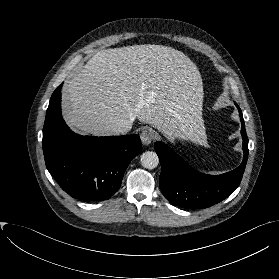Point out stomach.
Returning a JSON list of instances; mask_svg holds the SVG:
<instances>
[{
	"label": "stomach",
	"mask_w": 279,
	"mask_h": 279,
	"mask_svg": "<svg viewBox=\"0 0 279 279\" xmlns=\"http://www.w3.org/2000/svg\"><path fill=\"white\" fill-rule=\"evenodd\" d=\"M199 121H200V122H202V119H201V117H200ZM202 123H203V122H202Z\"/></svg>",
	"instance_id": "obj_1"
}]
</instances>
